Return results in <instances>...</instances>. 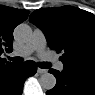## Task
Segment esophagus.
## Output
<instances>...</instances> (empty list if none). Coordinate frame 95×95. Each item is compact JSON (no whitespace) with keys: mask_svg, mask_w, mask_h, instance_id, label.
Instances as JSON below:
<instances>
[{"mask_svg":"<svg viewBox=\"0 0 95 95\" xmlns=\"http://www.w3.org/2000/svg\"><path fill=\"white\" fill-rule=\"evenodd\" d=\"M37 72H38L39 74H45V73H47V70H46V69L38 68V69H37Z\"/></svg>","mask_w":95,"mask_h":95,"instance_id":"1","label":"esophagus"}]
</instances>
